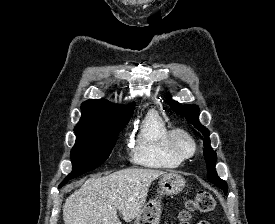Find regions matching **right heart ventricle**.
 <instances>
[{
	"label": "right heart ventricle",
	"mask_w": 275,
	"mask_h": 224,
	"mask_svg": "<svg viewBox=\"0 0 275 224\" xmlns=\"http://www.w3.org/2000/svg\"><path fill=\"white\" fill-rule=\"evenodd\" d=\"M170 128L154 110L149 111L135 131L130 148L132 161L146 168L174 169L182 160L169 149L167 137Z\"/></svg>",
	"instance_id": "e07e8e85"
}]
</instances>
